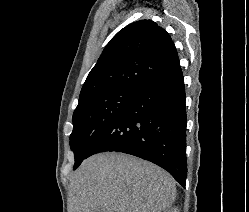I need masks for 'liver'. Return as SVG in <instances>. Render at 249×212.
I'll list each match as a JSON object with an SVG mask.
<instances>
[{"label":"liver","mask_w":249,"mask_h":212,"mask_svg":"<svg viewBox=\"0 0 249 212\" xmlns=\"http://www.w3.org/2000/svg\"><path fill=\"white\" fill-rule=\"evenodd\" d=\"M176 198L165 170L129 154H95L70 178L69 212H165Z\"/></svg>","instance_id":"liver-1"}]
</instances>
